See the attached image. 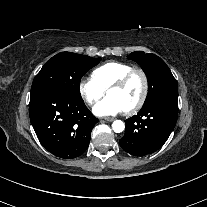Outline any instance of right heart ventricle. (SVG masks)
Here are the masks:
<instances>
[{
	"label": "right heart ventricle",
	"mask_w": 207,
	"mask_h": 207,
	"mask_svg": "<svg viewBox=\"0 0 207 207\" xmlns=\"http://www.w3.org/2000/svg\"><path fill=\"white\" fill-rule=\"evenodd\" d=\"M132 69V66L118 61L106 62L92 72L94 80L105 90L109 86Z\"/></svg>",
	"instance_id": "e07e8e85"
}]
</instances>
